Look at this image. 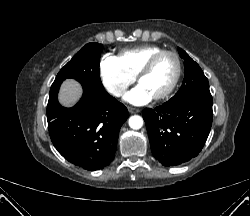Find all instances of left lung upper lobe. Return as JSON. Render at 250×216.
Here are the masks:
<instances>
[{
    "label": "left lung upper lobe",
    "instance_id": "5c2ea615",
    "mask_svg": "<svg viewBox=\"0 0 250 216\" xmlns=\"http://www.w3.org/2000/svg\"><path fill=\"white\" fill-rule=\"evenodd\" d=\"M178 52L184 60L185 77L179 91L167 102L176 103L197 97L212 100L209 83L202 69L184 50L178 48Z\"/></svg>",
    "mask_w": 250,
    "mask_h": 216
}]
</instances>
